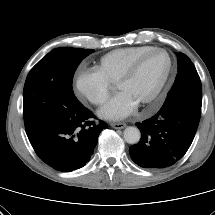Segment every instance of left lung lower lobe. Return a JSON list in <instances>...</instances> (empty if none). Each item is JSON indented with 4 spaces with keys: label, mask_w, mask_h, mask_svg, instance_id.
Instances as JSON below:
<instances>
[{
    "label": "left lung lower lobe",
    "mask_w": 215,
    "mask_h": 215,
    "mask_svg": "<svg viewBox=\"0 0 215 215\" xmlns=\"http://www.w3.org/2000/svg\"><path fill=\"white\" fill-rule=\"evenodd\" d=\"M201 117V105L182 97L166 98L151 118L136 123L140 141L129 149L132 160L148 169L169 167L189 149Z\"/></svg>",
    "instance_id": "1"
}]
</instances>
